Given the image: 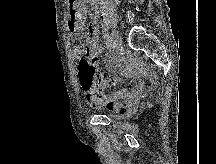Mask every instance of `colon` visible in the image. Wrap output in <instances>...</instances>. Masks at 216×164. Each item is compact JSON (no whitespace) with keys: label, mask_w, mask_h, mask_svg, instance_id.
Returning <instances> with one entry per match:
<instances>
[{"label":"colon","mask_w":216,"mask_h":164,"mask_svg":"<svg viewBox=\"0 0 216 164\" xmlns=\"http://www.w3.org/2000/svg\"><path fill=\"white\" fill-rule=\"evenodd\" d=\"M75 48L82 50L83 45L80 41H75ZM78 76L82 88L87 91L97 89L103 80V74L94 65L93 61L88 58H82L78 67Z\"/></svg>","instance_id":"5ec220e1"}]
</instances>
